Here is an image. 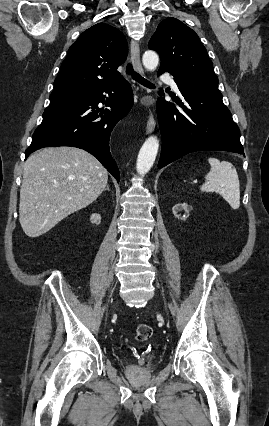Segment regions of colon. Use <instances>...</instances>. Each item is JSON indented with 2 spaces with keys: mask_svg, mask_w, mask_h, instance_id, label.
I'll return each mask as SVG.
<instances>
[{
  "mask_svg": "<svg viewBox=\"0 0 269 426\" xmlns=\"http://www.w3.org/2000/svg\"><path fill=\"white\" fill-rule=\"evenodd\" d=\"M152 336V328L146 324H139L135 329V337L139 342H145Z\"/></svg>",
  "mask_w": 269,
  "mask_h": 426,
  "instance_id": "obj_1",
  "label": "colon"
}]
</instances>
